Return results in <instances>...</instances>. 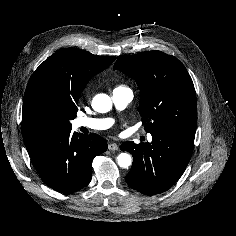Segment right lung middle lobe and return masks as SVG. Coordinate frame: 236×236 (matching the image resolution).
Returning a JSON list of instances; mask_svg holds the SVG:
<instances>
[{
	"mask_svg": "<svg viewBox=\"0 0 236 236\" xmlns=\"http://www.w3.org/2000/svg\"><path fill=\"white\" fill-rule=\"evenodd\" d=\"M75 105L46 92L36 93L27 118L28 128L38 136H54L72 129L70 120L76 117Z\"/></svg>",
	"mask_w": 236,
	"mask_h": 236,
	"instance_id": "obj_1",
	"label": "right lung middle lobe"
}]
</instances>
